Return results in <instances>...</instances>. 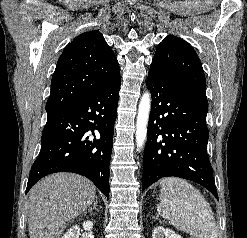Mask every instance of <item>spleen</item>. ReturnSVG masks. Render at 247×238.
Returning a JSON list of instances; mask_svg holds the SVG:
<instances>
[{
    "label": "spleen",
    "instance_id": "spleen-1",
    "mask_svg": "<svg viewBox=\"0 0 247 238\" xmlns=\"http://www.w3.org/2000/svg\"><path fill=\"white\" fill-rule=\"evenodd\" d=\"M157 212L175 228L193 238H217L218 229L212 209L192 184L177 177L160 180Z\"/></svg>",
    "mask_w": 247,
    "mask_h": 238
}]
</instances>
